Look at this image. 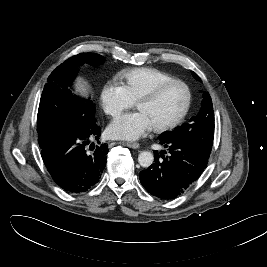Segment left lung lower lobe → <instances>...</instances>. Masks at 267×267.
<instances>
[{
  "mask_svg": "<svg viewBox=\"0 0 267 267\" xmlns=\"http://www.w3.org/2000/svg\"><path fill=\"white\" fill-rule=\"evenodd\" d=\"M160 144L167 148V152L154 151V163L140 172V181L150 194L172 199L200 177L209 155L184 141L160 140Z\"/></svg>",
  "mask_w": 267,
  "mask_h": 267,
  "instance_id": "1",
  "label": "left lung lower lobe"
}]
</instances>
